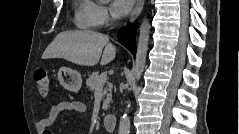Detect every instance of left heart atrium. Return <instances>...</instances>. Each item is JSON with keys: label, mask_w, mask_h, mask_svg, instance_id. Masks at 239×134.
I'll list each match as a JSON object with an SVG mask.
<instances>
[{"label": "left heart atrium", "mask_w": 239, "mask_h": 134, "mask_svg": "<svg viewBox=\"0 0 239 134\" xmlns=\"http://www.w3.org/2000/svg\"><path fill=\"white\" fill-rule=\"evenodd\" d=\"M133 3V0H115L112 3L113 13L119 17L125 16L131 11Z\"/></svg>", "instance_id": "left-heart-atrium-1"}]
</instances>
